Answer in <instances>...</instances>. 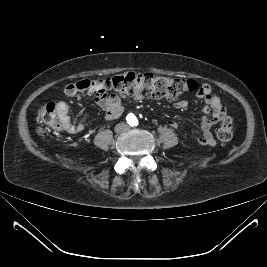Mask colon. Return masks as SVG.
Wrapping results in <instances>:
<instances>
[{
    "instance_id": "obj_1",
    "label": "colon",
    "mask_w": 267,
    "mask_h": 267,
    "mask_svg": "<svg viewBox=\"0 0 267 267\" xmlns=\"http://www.w3.org/2000/svg\"><path fill=\"white\" fill-rule=\"evenodd\" d=\"M81 87L95 95L97 100L110 96H131L136 98L178 99L180 96L198 92L200 85L194 80L166 77L152 73L128 72L105 80L86 79ZM39 132L46 129H60V122L53 102L47 103L39 113ZM218 139L226 144L233 137V123L224 117L217 131Z\"/></svg>"
}]
</instances>
